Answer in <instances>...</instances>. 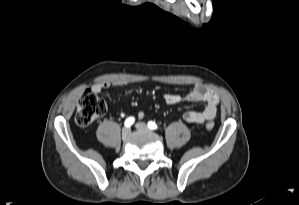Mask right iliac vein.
<instances>
[{
    "instance_id": "1",
    "label": "right iliac vein",
    "mask_w": 299,
    "mask_h": 205,
    "mask_svg": "<svg viewBox=\"0 0 299 205\" xmlns=\"http://www.w3.org/2000/svg\"><path fill=\"white\" fill-rule=\"evenodd\" d=\"M130 134H131V130L130 129H125L124 131H123V133H122V139L123 140H126V139H128V137L130 136Z\"/></svg>"
}]
</instances>
